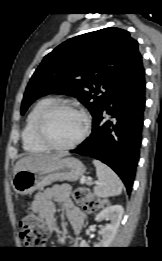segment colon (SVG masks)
Listing matches in <instances>:
<instances>
[{
	"mask_svg": "<svg viewBox=\"0 0 162 261\" xmlns=\"http://www.w3.org/2000/svg\"><path fill=\"white\" fill-rule=\"evenodd\" d=\"M74 202L86 213L100 210L103 200L93 195L87 188L79 187L72 194ZM20 236L26 247L38 248L47 240V232L41 221L32 213H27L19 222Z\"/></svg>",
	"mask_w": 162,
	"mask_h": 261,
	"instance_id": "obj_1",
	"label": "colon"
}]
</instances>
